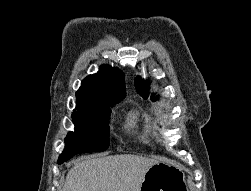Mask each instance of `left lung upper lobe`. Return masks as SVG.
I'll list each match as a JSON object with an SVG mask.
<instances>
[{"label": "left lung upper lobe", "mask_w": 251, "mask_h": 191, "mask_svg": "<svg viewBox=\"0 0 251 191\" xmlns=\"http://www.w3.org/2000/svg\"><path fill=\"white\" fill-rule=\"evenodd\" d=\"M135 87H136L137 92L146 99L145 93L148 90V87H146L145 89V83L139 77H137L135 80ZM151 100L155 101L156 98H151Z\"/></svg>", "instance_id": "obj_1"}]
</instances>
